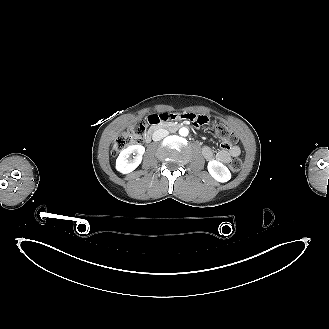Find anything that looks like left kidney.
I'll list each match as a JSON object with an SVG mask.
<instances>
[{"instance_id": "1", "label": "left kidney", "mask_w": 329, "mask_h": 329, "mask_svg": "<svg viewBox=\"0 0 329 329\" xmlns=\"http://www.w3.org/2000/svg\"><path fill=\"white\" fill-rule=\"evenodd\" d=\"M209 174L218 182H227L231 179V173L229 169L221 162L217 160H211L208 162Z\"/></svg>"}]
</instances>
